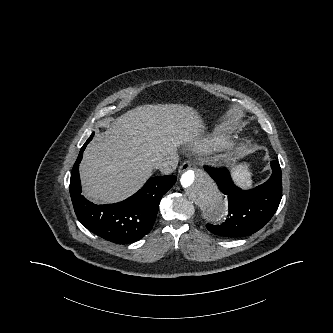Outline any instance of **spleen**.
I'll return each instance as SVG.
<instances>
[{
    "label": "spleen",
    "mask_w": 333,
    "mask_h": 333,
    "mask_svg": "<svg viewBox=\"0 0 333 333\" xmlns=\"http://www.w3.org/2000/svg\"><path fill=\"white\" fill-rule=\"evenodd\" d=\"M251 172L246 165H239L232 169V178L235 183L246 189L252 186Z\"/></svg>",
    "instance_id": "spleen-1"
}]
</instances>
